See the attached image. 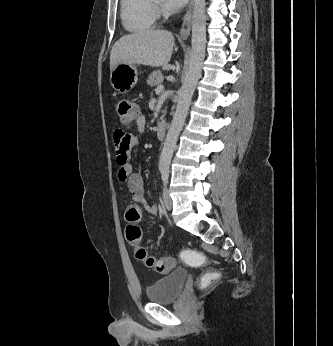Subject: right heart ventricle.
Instances as JSON below:
<instances>
[{
	"label": "right heart ventricle",
	"instance_id": "obj_1",
	"mask_svg": "<svg viewBox=\"0 0 333 346\" xmlns=\"http://www.w3.org/2000/svg\"><path fill=\"white\" fill-rule=\"evenodd\" d=\"M120 16L129 32H142L153 28L155 8L152 0H121Z\"/></svg>",
	"mask_w": 333,
	"mask_h": 346
}]
</instances>
